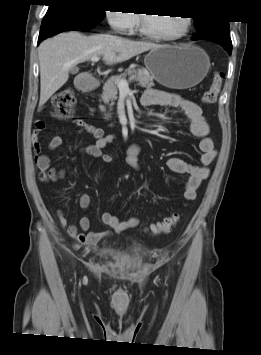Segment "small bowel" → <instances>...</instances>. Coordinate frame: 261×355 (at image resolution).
Listing matches in <instances>:
<instances>
[{"mask_svg": "<svg viewBox=\"0 0 261 355\" xmlns=\"http://www.w3.org/2000/svg\"><path fill=\"white\" fill-rule=\"evenodd\" d=\"M142 104L145 106L162 105L174 108H180L184 111L190 121V132L196 137L200 154L198 156V164H189L179 157L171 156L167 158L166 164L169 169L176 172H184L188 174V180L184 186V199L191 201L196 198V192L201 182L206 179L209 174V165L216 157V150L212 140L208 137L209 124L203 116L201 107L194 101L185 99L177 94L168 93L153 88L147 89L142 96ZM77 133H88L92 135L95 142L82 148V152L94 158H100L105 164L112 161L109 154H105L103 149L116 140L114 134H105L101 128L95 127L84 120L76 119L73 122ZM45 128L43 121H36L34 130L31 135L34 152V162L39 171L38 179L41 183H57L65 177V170H57L51 167L50 157L43 153L42 145L39 142L40 132ZM63 142L61 135L54 136L49 144L50 150H55ZM141 148L138 143H132L127 149V163L134 170H140L138 156ZM79 205L82 209L87 210L91 205V196L88 193H82L79 197ZM57 217L61 225L66 229L68 235L86 245H95L105 237L110 235V231L91 232L90 218L85 215L81 217L78 225H69L65 212L62 209L57 210ZM103 224L111 228L112 231L119 233L127 229L135 228L140 224L137 217H131L121 221L111 212H105L101 216Z\"/></svg>", "mask_w": 261, "mask_h": 355, "instance_id": "c3829d8e", "label": "small bowel"}]
</instances>
